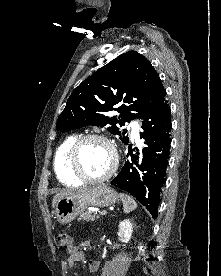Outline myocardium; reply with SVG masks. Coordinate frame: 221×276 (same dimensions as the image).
Returning a JSON list of instances; mask_svg holds the SVG:
<instances>
[{
    "label": "myocardium",
    "instance_id": "1",
    "mask_svg": "<svg viewBox=\"0 0 221 276\" xmlns=\"http://www.w3.org/2000/svg\"><path fill=\"white\" fill-rule=\"evenodd\" d=\"M91 140H98L104 142L111 150L113 155V161L110 168L101 176L90 177L81 168L79 161V152L83 144ZM119 164V155L114 144L102 134H86L79 136L72 143L68 152V165L72 174L80 181L87 183H101L108 180L117 170Z\"/></svg>",
    "mask_w": 221,
    "mask_h": 276
}]
</instances>
